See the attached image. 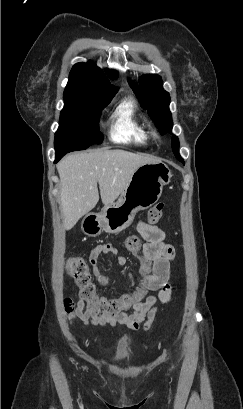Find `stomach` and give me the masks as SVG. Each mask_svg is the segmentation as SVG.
Returning a JSON list of instances; mask_svg holds the SVG:
<instances>
[{
  "mask_svg": "<svg viewBox=\"0 0 243 409\" xmlns=\"http://www.w3.org/2000/svg\"><path fill=\"white\" fill-rule=\"evenodd\" d=\"M172 173L162 162L146 163L136 169L116 203L104 206L100 213L87 214L82 221V231L96 236L103 230L119 233L134 220L136 213L155 204L170 183Z\"/></svg>",
  "mask_w": 243,
  "mask_h": 409,
  "instance_id": "obj_1",
  "label": "stomach"
}]
</instances>
